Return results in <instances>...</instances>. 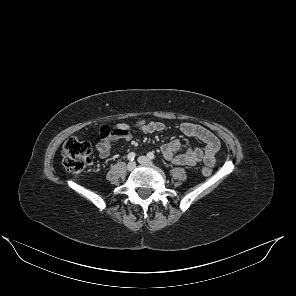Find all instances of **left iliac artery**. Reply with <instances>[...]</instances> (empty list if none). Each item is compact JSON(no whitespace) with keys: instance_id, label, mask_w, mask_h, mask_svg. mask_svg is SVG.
I'll use <instances>...</instances> for the list:
<instances>
[{"instance_id":"44dca946","label":"left iliac artery","mask_w":296,"mask_h":296,"mask_svg":"<svg viewBox=\"0 0 296 296\" xmlns=\"http://www.w3.org/2000/svg\"><path fill=\"white\" fill-rule=\"evenodd\" d=\"M147 157H148L149 159H151V160L155 159V155H154L152 152H149V153L147 154Z\"/></svg>"}]
</instances>
